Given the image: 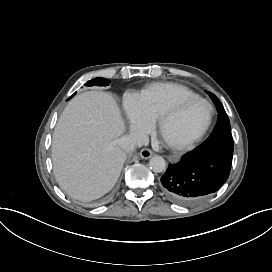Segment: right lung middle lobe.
<instances>
[{"mask_svg":"<svg viewBox=\"0 0 272 272\" xmlns=\"http://www.w3.org/2000/svg\"><path fill=\"white\" fill-rule=\"evenodd\" d=\"M109 83H110V81L107 80V79H105V78H95V79H92V80L88 81L85 85L86 86H94V85H97V86H106ZM75 94L76 93H74L70 98H72Z\"/></svg>","mask_w":272,"mask_h":272,"instance_id":"obj_1","label":"right lung middle lobe"}]
</instances>
